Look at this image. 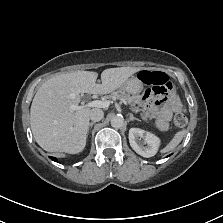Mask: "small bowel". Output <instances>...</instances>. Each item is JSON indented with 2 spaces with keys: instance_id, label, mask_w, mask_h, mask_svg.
Wrapping results in <instances>:
<instances>
[{
  "instance_id": "small-bowel-1",
  "label": "small bowel",
  "mask_w": 223,
  "mask_h": 223,
  "mask_svg": "<svg viewBox=\"0 0 223 223\" xmlns=\"http://www.w3.org/2000/svg\"><path fill=\"white\" fill-rule=\"evenodd\" d=\"M140 102L145 112L155 120L156 126L162 131L168 129L173 113L183 109L172 85L154 86L146 90L141 95Z\"/></svg>"
}]
</instances>
